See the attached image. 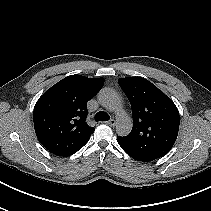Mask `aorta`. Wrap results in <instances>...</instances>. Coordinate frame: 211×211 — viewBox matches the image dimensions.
I'll list each match as a JSON object with an SVG mask.
<instances>
[{
    "instance_id": "obj_1",
    "label": "aorta",
    "mask_w": 211,
    "mask_h": 211,
    "mask_svg": "<svg viewBox=\"0 0 211 211\" xmlns=\"http://www.w3.org/2000/svg\"><path fill=\"white\" fill-rule=\"evenodd\" d=\"M100 104L113 112L116 116V132L120 136H127L132 129V121L124 111L118 95L112 89H102L98 95Z\"/></svg>"
}]
</instances>
